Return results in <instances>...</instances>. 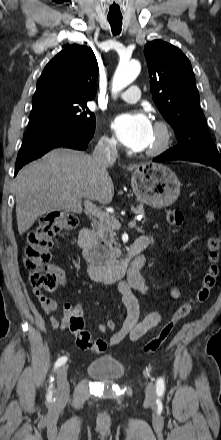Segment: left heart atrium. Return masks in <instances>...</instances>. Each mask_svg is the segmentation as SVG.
<instances>
[{
  "mask_svg": "<svg viewBox=\"0 0 221 440\" xmlns=\"http://www.w3.org/2000/svg\"><path fill=\"white\" fill-rule=\"evenodd\" d=\"M111 126L126 147L136 151L148 147L153 126L146 114L138 112L119 115L114 118Z\"/></svg>",
  "mask_w": 221,
  "mask_h": 440,
  "instance_id": "obj_1",
  "label": "left heart atrium"
}]
</instances>
